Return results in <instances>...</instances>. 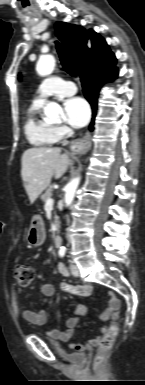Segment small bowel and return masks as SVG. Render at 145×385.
I'll return each instance as SVG.
<instances>
[{
  "mask_svg": "<svg viewBox=\"0 0 145 385\" xmlns=\"http://www.w3.org/2000/svg\"><path fill=\"white\" fill-rule=\"evenodd\" d=\"M57 270L64 277H69L70 275L68 269L62 263H57ZM72 287L77 290L74 295L86 297L89 296L92 292V287L89 284H80ZM41 293L43 295L41 308L38 311L23 310L22 315L27 322L36 326L43 327L46 324L48 318L46 309L47 302L48 299L55 294V287L52 284H43L41 286ZM108 293L111 296L110 309L102 313V318L104 320H115L119 316L118 309L121 305V302L115 296L112 290L108 291ZM86 312V307L82 304H79L75 307L73 315L66 320L64 330H47L44 328L43 332L55 340L66 342L72 337L75 328L80 321V318L84 316ZM100 332L102 335L106 334L108 332V325H103L100 329ZM99 341L100 337H96L89 339L85 343H70L68 346L70 349L76 352H83L90 347L98 345Z\"/></svg>",
  "mask_w": 145,
  "mask_h": 385,
  "instance_id": "obj_1",
  "label": "small bowel"
}]
</instances>
